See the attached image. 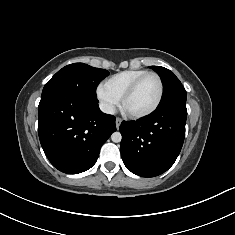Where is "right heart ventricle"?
I'll use <instances>...</instances> for the list:
<instances>
[{"instance_id": "1", "label": "right heart ventricle", "mask_w": 235, "mask_h": 235, "mask_svg": "<svg viewBox=\"0 0 235 235\" xmlns=\"http://www.w3.org/2000/svg\"><path fill=\"white\" fill-rule=\"evenodd\" d=\"M147 72L148 71L143 69L124 70L110 76L105 80L103 85L118 99H121L123 93L132 84V82Z\"/></svg>"}]
</instances>
